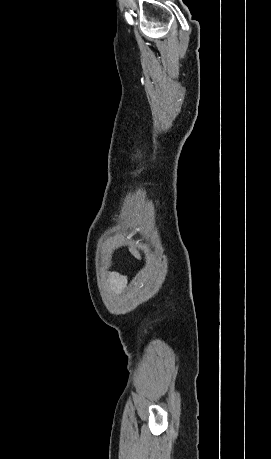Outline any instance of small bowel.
I'll use <instances>...</instances> for the list:
<instances>
[{"label": "small bowel", "mask_w": 271, "mask_h": 459, "mask_svg": "<svg viewBox=\"0 0 271 459\" xmlns=\"http://www.w3.org/2000/svg\"><path fill=\"white\" fill-rule=\"evenodd\" d=\"M109 284L116 294H120L126 286V279L123 276L112 274L109 278Z\"/></svg>", "instance_id": "small-bowel-1"}]
</instances>
